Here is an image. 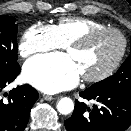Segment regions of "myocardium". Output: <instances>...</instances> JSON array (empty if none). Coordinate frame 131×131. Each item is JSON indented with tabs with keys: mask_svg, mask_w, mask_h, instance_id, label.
<instances>
[{
	"mask_svg": "<svg viewBox=\"0 0 131 131\" xmlns=\"http://www.w3.org/2000/svg\"><path fill=\"white\" fill-rule=\"evenodd\" d=\"M103 33H113L116 34L120 40H121V49L119 53L117 54L114 61L109 65L108 68H106L101 73L95 74V75H82L83 80L87 82H100L108 78L113 74V72L118 68L120 65L127 49L128 41L126 36L118 29L113 27H103L98 29H93L91 31L86 32L85 34L81 35L80 37L76 38L75 40L69 42L66 45V49H70L73 47H82L85 46L92 38H94L97 35L103 34Z\"/></svg>",
	"mask_w": 131,
	"mask_h": 131,
	"instance_id": "1",
	"label": "myocardium"
}]
</instances>
